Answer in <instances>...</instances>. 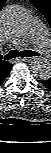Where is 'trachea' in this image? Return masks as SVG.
I'll use <instances>...</instances> for the list:
<instances>
[{"label":"trachea","instance_id":"1","mask_svg":"<svg viewBox=\"0 0 51 153\" xmlns=\"http://www.w3.org/2000/svg\"><path fill=\"white\" fill-rule=\"evenodd\" d=\"M33 57V56H40L38 52L31 51V50H24V51H17V50H11L8 54H6L3 59L4 60H10L17 57Z\"/></svg>","mask_w":51,"mask_h":153}]
</instances>
